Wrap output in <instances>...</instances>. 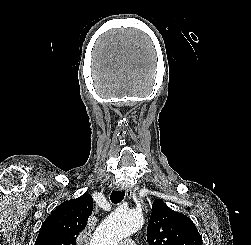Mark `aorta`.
Listing matches in <instances>:
<instances>
[{"mask_svg":"<svg viewBox=\"0 0 251 245\" xmlns=\"http://www.w3.org/2000/svg\"><path fill=\"white\" fill-rule=\"evenodd\" d=\"M143 223L140 211L118 209L97 227L90 245H118L122 239L139 230Z\"/></svg>","mask_w":251,"mask_h":245,"instance_id":"762f6f07","label":"aorta"}]
</instances>
